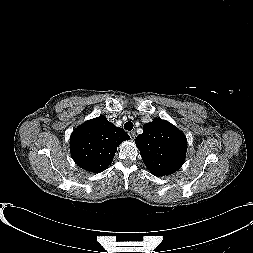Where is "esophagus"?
<instances>
[{"label":"esophagus","mask_w":253,"mask_h":253,"mask_svg":"<svg viewBox=\"0 0 253 253\" xmlns=\"http://www.w3.org/2000/svg\"><path fill=\"white\" fill-rule=\"evenodd\" d=\"M129 135H130L131 139H134L136 137V132L135 131H130Z\"/></svg>","instance_id":"obj_1"}]
</instances>
